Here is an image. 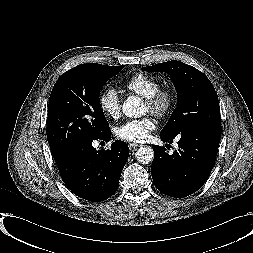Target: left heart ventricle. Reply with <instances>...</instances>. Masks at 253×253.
<instances>
[{
  "label": "left heart ventricle",
  "instance_id": "obj_1",
  "mask_svg": "<svg viewBox=\"0 0 253 253\" xmlns=\"http://www.w3.org/2000/svg\"><path fill=\"white\" fill-rule=\"evenodd\" d=\"M144 111L145 112H148L149 110H148V107L146 106V104H144Z\"/></svg>",
  "mask_w": 253,
  "mask_h": 253
}]
</instances>
